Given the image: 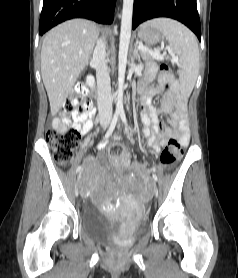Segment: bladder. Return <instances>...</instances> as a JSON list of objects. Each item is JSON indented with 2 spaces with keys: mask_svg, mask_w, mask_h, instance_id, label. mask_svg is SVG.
<instances>
[{
  "mask_svg": "<svg viewBox=\"0 0 238 278\" xmlns=\"http://www.w3.org/2000/svg\"><path fill=\"white\" fill-rule=\"evenodd\" d=\"M122 221L106 217L93 206H87L82 213L83 231L93 239L108 245L117 246L123 241L135 239L146 230V221L140 219L128 230L120 229Z\"/></svg>",
  "mask_w": 238,
  "mask_h": 278,
  "instance_id": "1",
  "label": "bladder"
}]
</instances>
